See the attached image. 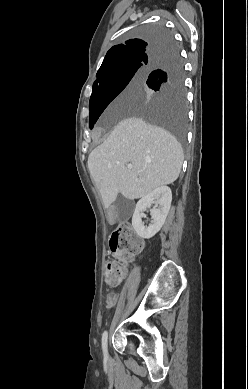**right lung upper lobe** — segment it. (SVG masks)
<instances>
[{"label":"right lung upper lobe","instance_id":"cb5924a9","mask_svg":"<svg viewBox=\"0 0 248 389\" xmlns=\"http://www.w3.org/2000/svg\"><path fill=\"white\" fill-rule=\"evenodd\" d=\"M163 45L164 43L131 39L125 44L113 46L107 52L96 77L99 79L108 72L126 67H149L156 62V57L163 55L166 51L167 48Z\"/></svg>","mask_w":248,"mask_h":389}]
</instances>
